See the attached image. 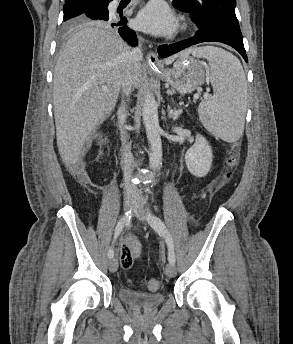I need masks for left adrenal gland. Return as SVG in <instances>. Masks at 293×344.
<instances>
[{"label":"left adrenal gland","instance_id":"obj_1","mask_svg":"<svg viewBox=\"0 0 293 344\" xmlns=\"http://www.w3.org/2000/svg\"><path fill=\"white\" fill-rule=\"evenodd\" d=\"M182 110L181 109H171L170 106H168V116L169 118H172L173 120H177L178 117L181 115Z\"/></svg>","mask_w":293,"mask_h":344}]
</instances>
